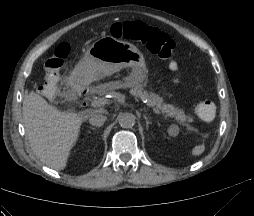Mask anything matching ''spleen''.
Masks as SVG:
<instances>
[{
    "label": "spleen",
    "mask_w": 254,
    "mask_h": 216,
    "mask_svg": "<svg viewBox=\"0 0 254 216\" xmlns=\"http://www.w3.org/2000/svg\"><path fill=\"white\" fill-rule=\"evenodd\" d=\"M204 151H205L204 144L196 145L191 151V156L192 157L200 156Z\"/></svg>",
    "instance_id": "spleen-1"
}]
</instances>
